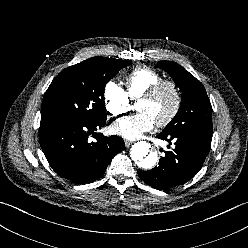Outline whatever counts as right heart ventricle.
I'll list each match as a JSON object with an SVG mask.
<instances>
[{
    "instance_id": "1",
    "label": "right heart ventricle",
    "mask_w": 248,
    "mask_h": 248,
    "mask_svg": "<svg viewBox=\"0 0 248 248\" xmlns=\"http://www.w3.org/2000/svg\"><path fill=\"white\" fill-rule=\"evenodd\" d=\"M162 79V75L155 70L149 67H138L125 77V91L130 100H137Z\"/></svg>"
}]
</instances>
